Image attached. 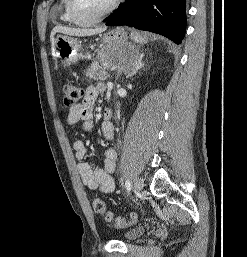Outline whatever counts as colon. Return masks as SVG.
<instances>
[{
  "label": "colon",
  "instance_id": "5ec220e1",
  "mask_svg": "<svg viewBox=\"0 0 247 257\" xmlns=\"http://www.w3.org/2000/svg\"><path fill=\"white\" fill-rule=\"evenodd\" d=\"M61 90L64 106L71 108L78 104L82 96V91L79 87L73 83L65 82L62 84ZM92 207L94 212L102 216L106 222L111 223L118 228L127 227L137 220L136 213H132L129 218L115 217L113 213L107 209L105 202L98 197L93 199Z\"/></svg>",
  "mask_w": 247,
  "mask_h": 257
}]
</instances>
